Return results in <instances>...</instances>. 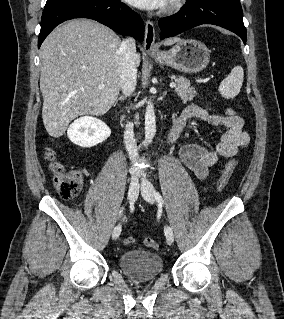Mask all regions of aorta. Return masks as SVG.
Here are the masks:
<instances>
[{
	"label": "aorta",
	"mask_w": 284,
	"mask_h": 319,
	"mask_svg": "<svg viewBox=\"0 0 284 319\" xmlns=\"http://www.w3.org/2000/svg\"><path fill=\"white\" fill-rule=\"evenodd\" d=\"M156 132L155 110L151 100H148L145 112V140L152 142Z\"/></svg>",
	"instance_id": "762f6f07"
}]
</instances>
